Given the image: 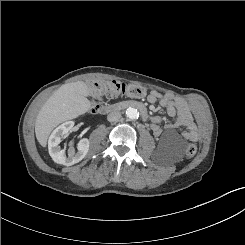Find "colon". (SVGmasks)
Listing matches in <instances>:
<instances>
[{
	"label": "colon",
	"mask_w": 245,
	"mask_h": 245,
	"mask_svg": "<svg viewBox=\"0 0 245 245\" xmlns=\"http://www.w3.org/2000/svg\"><path fill=\"white\" fill-rule=\"evenodd\" d=\"M146 93L141 86L134 84H125L120 81H98L93 84L91 95L94 103V109L97 110L98 103L106 99H114L119 96L142 97ZM197 152L195 144H188L185 154L188 158H192Z\"/></svg>",
	"instance_id": "colon-1"
}]
</instances>
